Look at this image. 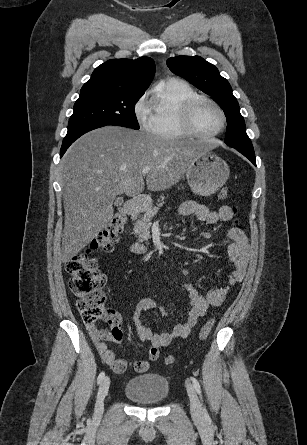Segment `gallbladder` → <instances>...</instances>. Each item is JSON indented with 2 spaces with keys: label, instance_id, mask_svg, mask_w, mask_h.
<instances>
[{
  "label": "gallbladder",
  "instance_id": "bac80fb5",
  "mask_svg": "<svg viewBox=\"0 0 307 445\" xmlns=\"http://www.w3.org/2000/svg\"><path fill=\"white\" fill-rule=\"evenodd\" d=\"M123 203H124L123 196H116L115 202L113 203V208L119 209L120 206L123 205Z\"/></svg>",
  "mask_w": 307,
  "mask_h": 445
}]
</instances>
